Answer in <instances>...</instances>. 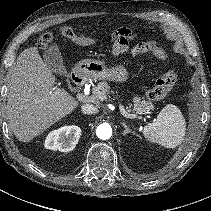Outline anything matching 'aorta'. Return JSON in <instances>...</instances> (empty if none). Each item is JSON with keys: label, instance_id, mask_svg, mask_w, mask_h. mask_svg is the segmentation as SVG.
Segmentation results:
<instances>
[{"label": "aorta", "instance_id": "762f6f07", "mask_svg": "<svg viewBox=\"0 0 211 211\" xmlns=\"http://www.w3.org/2000/svg\"><path fill=\"white\" fill-rule=\"evenodd\" d=\"M96 135L101 140H107L112 135V128L109 124H100L96 129Z\"/></svg>", "mask_w": 211, "mask_h": 211}]
</instances>
